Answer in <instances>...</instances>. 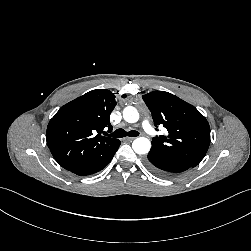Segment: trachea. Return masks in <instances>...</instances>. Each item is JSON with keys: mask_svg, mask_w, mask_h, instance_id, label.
I'll list each match as a JSON object with an SVG mask.
<instances>
[{"mask_svg": "<svg viewBox=\"0 0 251 251\" xmlns=\"http://www.w3.org/2000/svg\"><path fill=\"white\" fill-rule=\"evenodd\" d=\"M139 135L138 131L135 130H131L129 132H126L124 129H117L116 131H114L110 136L111 137H116V138H122V137H126V136H130V137H136Z\"/></svg>", "mask_w": 251, "mask_h": 251, "instance_id": "trachea-1", "label": "trachea"}]
</instances>
